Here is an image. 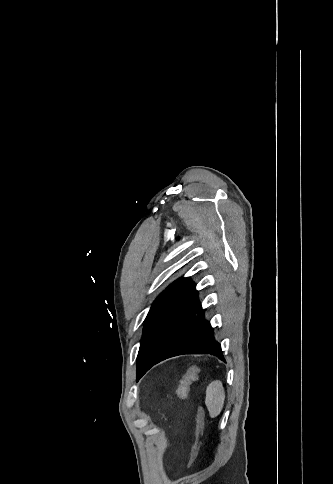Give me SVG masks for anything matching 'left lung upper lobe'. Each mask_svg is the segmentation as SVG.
Here are the masks:
<instances>
[{"label":"left lung upper lobe","mask_w":333,"mask_h":484,"mask_svg":"<svg viewBox=\"0 0 333 484\" xmlns=\"http://www.w3.org/2000/svg\"><path fill=\"white\" fill-rule=\"evenodd\" d=\"M161 294H162V293H161ZM161 294H160V295H161ZM160 295H159V296H160ZM159 296L157 297V299L159 298ZM157 299H156V300H157ZM156 300H155V302H156ZM155 302H154V303H155ZM154 303H153V305H154ZM138 374H139V369L137 368V376H138Z\"/></svg>","instance_id":"obj_1"}]
</instances>
